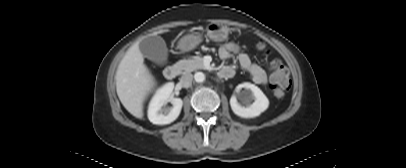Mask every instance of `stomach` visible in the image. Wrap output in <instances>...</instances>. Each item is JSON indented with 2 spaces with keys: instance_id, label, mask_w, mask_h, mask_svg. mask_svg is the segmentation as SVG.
<instances>
[{
  "instance_id": "0dacf381",
  "label": "stomach",
  "mask_w": 406,
  "mask_h": 168,
  "mask_svg": "<svg viewBox=\"0 0 406 168\" xmlns=\"http://www.w3.org/2000/svg\"><path fill=\"white\" fill-rule=\"evenodd\" d=\"M207 36L215 41L222 42L227 39L229 29L219 23H210L206 27ZM202 41V36L198 32H192L183 36L179 41V48L183 51H190L196 48Z\"/></svg>"
}]
</instances>
